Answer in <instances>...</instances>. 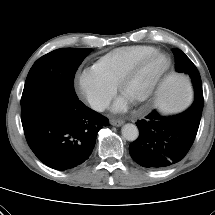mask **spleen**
I'll return each instance as SVG.
<instances>
[{
    "instance_id": "spleen-1",
    "label": "spleen",
    "mask_w": 215,
    "mask_h": 215,
    "mask_svg": "<svg viewBox=\"0 0 215 215\" xmlns=\"http://www.w3.org/2000/svg\"><path fill=\"white\" fill-rule=\"evenodd\" d=\"M160 92V104L167 111H183L193 101V91L189 81L181 76H169L163 82ZM165 92V93H164Z\"/></svg>"
}]
</instances>
